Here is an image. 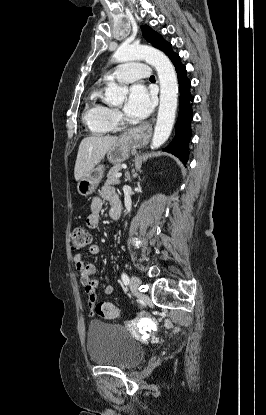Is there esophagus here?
Segmentation results:
<instances>
[{
	"label": "esophagus",
	"mask_w": 266,
	"mask_h": 415,
	"mask_svg": "<svg viewBox=\"0 0 266 415\" xmlns=\"http://www.w3.org/2000/svg\"><path fill=\"white\" fill-rule=\"evenodd\" d=\"M155 118H154V116L152 117V120H154Z\"/></svg>",
	"instance_id": "esophagus-1"
}]
</instances>
